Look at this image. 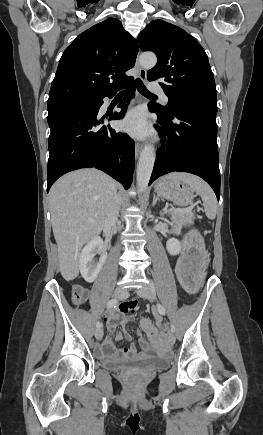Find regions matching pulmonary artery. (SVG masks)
I'll return each instance as SVG.
<instances>
[{"mask_svg":"<svg viewBox=\"0 0 263 435\" xmlns=\"http://www.w3.org/2000/svg\"><path fill=\"white\" fill-rule=\"evenodd\" d=\"M148 87H149V90L151 92L160 94L161 97H162L163 102H165V103L168 102L167 96L164 94L161 86L158 83H156V82H150Z\"/></svg>","mask_w":263,"mask_h":435,"instance_id":"obj_1","label":"pulmonary artery"}]
</instances>
